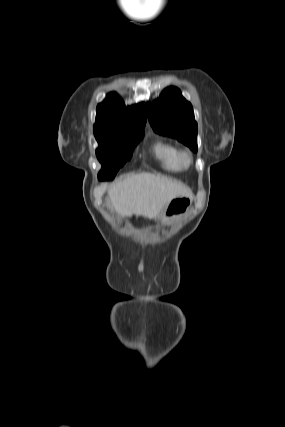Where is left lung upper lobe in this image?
Here are the masks:
<instances>
[{"label": "left lung upper lobe", "instance_id": "left-lung-upper-lobe-1", "mask_svg": "<svg viewBox=\"0 0 285 427\" xmlns=\"http://www.w3.org/2000/svg\"><path fill=\"white\" fill-rule=\"evenodd\" d=\"M149 121L155 132L177 138L197 152V123L192 105L178 88L165 89L153 104H147Z\"/></svg>", "mask_w": 285, "mask_h": 427}]
</instances>
